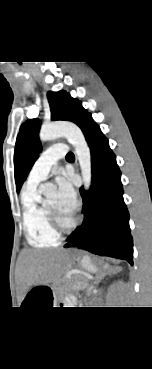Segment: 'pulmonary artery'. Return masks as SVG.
<instances>
[{"label":"pulmonary artery","mask_w":152,"mask_h":369,"mask_svg":"<svg viewBox=\"0 0 152 369\" xmlns=\"http://www.w3.org/2000/svg\"><path fill=\"white\" fill-rule=\"evenodd\" d=\"M67 154V146L64 144H55L46 149L32 166L27 184L38 185L47 179L51 170L57 161Z\"/></svg>","instance_id":"e3ab8cb5"}]
</instances>
